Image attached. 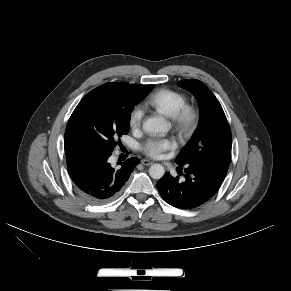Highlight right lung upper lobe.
I'll list each match as a JSON object with an SVG mask.
<instances>
[{"mask_svg":"<svg viewBox=\"0 0 291 291\" xmlns=\"http://www.w3.org/2000/svg\"><path fill=\"white\" fill-rule=\"evenodd\" d=\"M146 85L128 84L123 82L109 83L100 86L92 91L106 94L108 98L114 101L127 97H136L141 94L142 88Z\"/></svg>","mask_w":291,"mask_h":291,"instance_id":"1","label":"right lung upper lobe"}]
</instances>
